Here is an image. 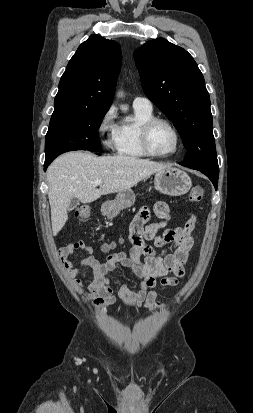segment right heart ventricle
<instances>
[{
    "mask_svg": "<svg viewBox=\"0 0 253 413\" xmlns=\"http://www.w3.org/2000/svg\"><path fill=\"white\" fill-rule=\"evenodd\" d=\"M151 117H153L152 110L134 107V118L125 120L120 125V141L117 149L120 155L130 158L148 156L141 147L139 130L141 124Z\"/></svg>",
    "mask_w": 253,
    "mask_h": 413,
    "instance_id": "e07e8e85",
    "label": "right heart ventricle"
}]
</instances>
